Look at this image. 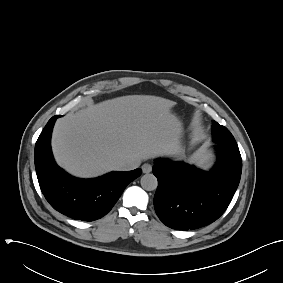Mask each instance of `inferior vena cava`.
<instances>
[{
	"mask_svg": "<svg viewBox=\"0 0 283 283\" xmlns=\"http://www.w3.org/2000/svg\"><path fill=\"white\" fill-rule=\"evenodd\" d=\"M139 163L132 162L130 160H119L116 162V170H132L139 166Z\"/></svg>",
	"mask_w": 283,
	"mask_h": 283,
	"instance_id": "inferior-vena-cava-1",
	"label": "inferior vena cava"
}]
</instances>
